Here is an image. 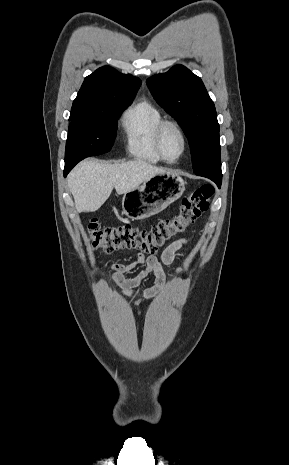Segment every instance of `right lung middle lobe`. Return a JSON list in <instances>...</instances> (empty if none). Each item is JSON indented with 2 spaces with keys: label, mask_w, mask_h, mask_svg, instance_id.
I'll use <instances>...</instances> for the list:
<instances>
[{
  "label": "right lung middle lobe",
  "mask_w": 289,
  "mask_h": 465,
  "mask_svg": "<svg viewBox=\"0 0 289 465\" xmlns=\"http://www.w3.org/2000/svg\"><path fill=\"white\" fill-rule=\"evenodd\" d=\"M132 100L115 101L101 107L96 118L69 119L65 162L109 151L116 136V120Z\"/></svg>",
  "instance_id": "obj_1"
}]
</instances>
